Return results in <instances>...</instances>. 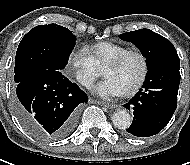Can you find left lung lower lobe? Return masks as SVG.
<instances>
[{
  "label": "left lung lower lobe",
  "mask_w": 190,
  "mask_h": 165,
  "mask_svg": "<svg viewBox=\"0 0 190 165\" xmlns=\"http://www.w3.org/2000/svg\"><path fill=\"white\" fill-rule=\"evenodd\" d=\"M180 59L158 63L148 69L140 91L123 106L133 109V122L126 131L137 137L160 132L170 121L176 106L180 83Z\"/></svg>",
  "instance_id": "left-lung-lower-lobe-1"
}]
</instances>
